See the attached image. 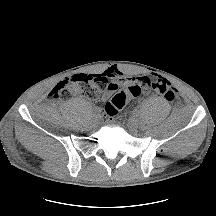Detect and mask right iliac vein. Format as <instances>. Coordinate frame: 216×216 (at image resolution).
<instances>
[{"instance_id":"63e3f726","label":"right iliac vein","mask_w":216,"mask_h":216,"mask_svg":"<svg viewBox=\"0 0 216 216\" xmlns=\"http://www.w3.org/2000/svg\"><path fill=\"white\" fill-rule=\"evenodd\" d=\"M98 122H99V116L93 115V117L91 118V123L95 126L98 124Z\"/></svg>"}]
</instances>
